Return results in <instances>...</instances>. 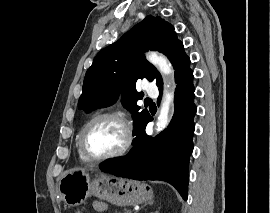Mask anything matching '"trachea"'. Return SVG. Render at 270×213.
Returning a JSON list of instances; mask_svg holds the SVG:
<instances>
[{"instance_id":"trachea-1","label":"trachea","mask_w":270,"mask_h":213,"mask_svg":"<svg viewBox=\"0 0 270 213\" xmlns=\"http://www.w3.org/2000/svg\"><path fill=\"white\" fill-rule=\"evenodd\" d=\"M146 101H152L151 99H147Z\"/></svg>"}]
</instances>
